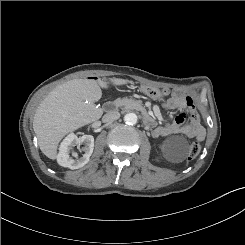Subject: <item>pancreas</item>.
Wrapping results in <instances>:
<instances>
[{"mask_svg": "<svg viewBox=\"0 0 245 245\" xmlns=\"http://www.w3.org/2000/svg\"><path fill=\"white\" fill-rule=\"evenodd\" d=\"M115 105L117 107H121L122 109H135L140 110L142 109V101L134 100V99H127V98H120L115 101Z\"/></svg>", "mask_w": 245, "mask_h": 245, "instance_id": "cf45deb5", "label": "pancreas"}]
</instances>
